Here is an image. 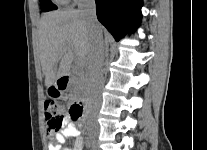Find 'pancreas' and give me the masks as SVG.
<instances>
[{
	"label": "pancreas",
	"instance_id": "cf45deb5",
	"mask_svg": "<svg viewBox=\"0 0 207 150\" xmlns=\"http://www.w3.org/2000/svg\"><path fill=\"white\" fill-rule=\"evenodd\" d=\"M78 75V77L72 80V93L84 91L89 86L90 77L88 72L81 71Z\"/></svg>",
	"mask_w": 207,
	"mask_h": 150
}]
</instances>
